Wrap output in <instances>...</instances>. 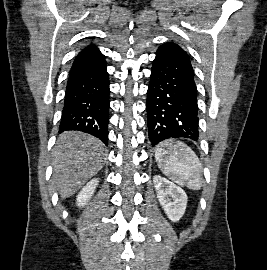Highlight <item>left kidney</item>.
<instances>
[{
  "mask_svg": "<svg viewBox=\"0 0 267 270\" xmlns=\"http://www.w3.org/2000/svg\"><path fill=\"white\" fill-rule=\"evenodd\" d=\"M154 187L160 205L172 222L179 221L185 213L188 197L185 191L168 179L155 175Z\"/></svg>",
  "mask_w": 267,
  "mask_h": 270,
  "instance_id": "left-kidney-1",
  "label": "left kidney"
}]
</instances>
